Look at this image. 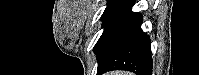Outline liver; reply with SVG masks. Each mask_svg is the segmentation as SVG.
I'll use <instances>...</instances> for the list:
<instances>
[{
  "label": "liver",
  "instance_id": "6515ba94",
  "mask_svg": "<svg viewBox=\"0 0 199 75\" xmlns=\"http://www.w3.org/2000/svg\"><path fill=\"white\" fill-rule=\"evenodd\" d=\"M107 75H132V74L130 72L116 71V72H109Z\"/></svg>",
  "mask_w": 199,
  "mask_h": 75
}]
</instances>
